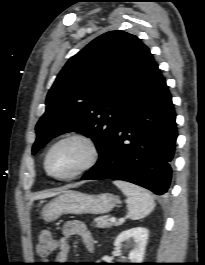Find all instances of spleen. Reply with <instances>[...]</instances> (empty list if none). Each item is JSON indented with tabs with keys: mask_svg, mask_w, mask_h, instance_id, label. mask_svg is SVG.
Returning <instances> with one entry per match:
<instances>
[{
	"mask_svg": "<svg viewBox=\"0 0 205 265\" xmlns=\"http://www.w3.org/2000/svg\"><path fill=\"white\" fill-rule=\"evenodd\" d=\"M114 184L128 198V216L132 220H139L150 214L155 207V202L152 195L137 185L130 184L124 181H114Z\"/></svg>",
	"mask_w": 205,
	"mask_h": 265,
	"instance_id": "1",
	"label": "spleen"
}]
</instances>
